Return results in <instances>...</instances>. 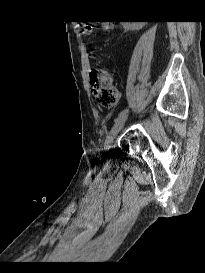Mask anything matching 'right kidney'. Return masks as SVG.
Wrapping results in <instances>:
<instances>
[{"label":"right kidney","mask_w":205,"mask_h":273,"mask_svg":"<svg viewBox=\"0 0 205 273\" xmlns=\"http://www.w3.org/2000/svg\"><path fill=\"white\" fill-rule=\"evenodd\" d=\"M144 26V22L123 23L125 30H139Z\"/></svg>","instance_id":"1"}]
</instances>
